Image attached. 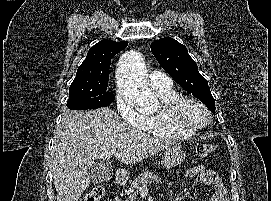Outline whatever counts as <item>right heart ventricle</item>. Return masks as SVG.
<instances>
[{
  "instance_id": "e07e8e85",
  "label": "right heart ventricle",
  "mask_w": 271,
  "mask_h": 201,
  "mask_svg": "<svg viewBox=\"0 0 271 201\" xmlns=\"http://www.w3.org/2000/svg\"><path fill=\"white\" fill-rule=\"evenodd\" d=\"M156 92L162 103L180 97L172 86L156 88ZM146 117L147 120L142 130L155 137L178 140L191 137L195 134V132L184 130L173 124L160 110Z\"/></svg>"
}]
</instances>
